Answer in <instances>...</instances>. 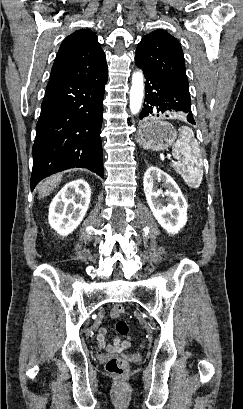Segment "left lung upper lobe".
Returning a JSON list of instances; mask_svg holds the SVG:
<instances>
[{
  "label": "left lung upper lobe",
  "mask_w": 243,
  "mask_h": 409,
  "mask_svg": "<svg viewBox=\"0 0 243 409\" xmlns=\"http://www.w3.org/2000/svg\"><path fill=\"white\" fill-rule=\"evenodd\" d=\"M135 62L144 72L161 75L189 87L181 45L162 29L146 34L141 39L136 49Z\"/></svg>",
  "instance_id": "5c2ea615"
}]
</instances>
